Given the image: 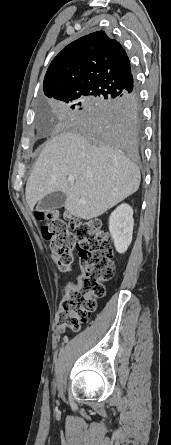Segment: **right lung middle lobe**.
<instances>
[{"label":"right lung middle lobe","mask_w":171,"mask_h":445,"mask_svg":"<svg viewBox=\"0 0 171 445\" xmlns=\"http://www.w3.org/2000/svg\"><path fill=\"white\" fill-rule=\"evenodd\" d=\"M105 98L95 92H75L58 99L71 104V109H79L76 116L84 123H92L94 110L97 109Z\"/></svg>","instance_id":"1"}]
</instances>
